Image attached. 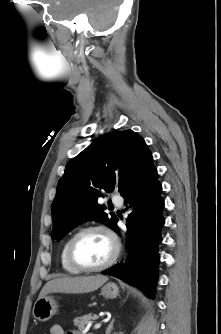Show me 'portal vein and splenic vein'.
<instances>
[{"mask_svg": "<svg viewBox=\"0 0 221 334\" xmlns=\"http://www.w3.org/2000/svg\"><path fill=\"white\" fill-rule=\"evenodd\" d=\"M101 327V323H97L94 325V329H99Z\"/></svg>", "mask_w": 221, "mask_h": 334, "instance_id": "18ae733b", "label": "portal vein and splenic vein"}]
</instances>
